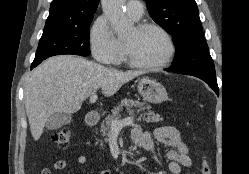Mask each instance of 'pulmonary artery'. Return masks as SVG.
<instances>
[{
    "label": "pulmonary artery",
    "instance_id": "obj_1",
    "mask_svg": "<svg viewBox=\"0 0 249 174\" xmlns=\"http://www.w3.org/2000/svg\"><path fill=\"white\" fill-rule=\"evenodd\" d=\"M127 14L134 20H139L143 15V4L139 0H129L126 4Z\"/></svg>",
    "mask_w": 249,
    "mask_h": 174
}]
</instances>
